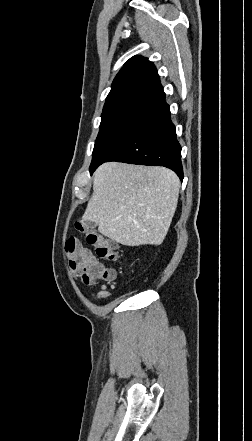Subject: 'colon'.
<instances>
[{"label": "colon", "mask_w": 252, "mask_h": 441, "mask_svg": "<svg viewBox=\"0 0 252 441\" xmlns=\"http://www.w3.org/2000/svg\"><path fill=\"white\" fill-rule=\"evenodd\" d=\"M76 228L85 233L88 245L94 249L98 257L107 260L116 259V246L108 238L92 229H88L81 223H77ZM65 249L73 274L86 285L95 284L100 280L112 281L116 278V271L100 265L91 251L78 240H68Z\"/></svg>", "instance_id": "colon-1"}]
</instances>
